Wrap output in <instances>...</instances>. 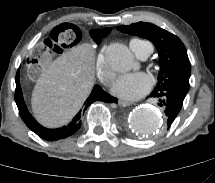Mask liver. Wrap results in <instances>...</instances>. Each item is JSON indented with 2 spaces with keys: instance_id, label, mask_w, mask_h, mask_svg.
I'll list each match as a JSON object with an SVG mask.
<instances>
[{
  "instance_id": "liver-1",
  "label": "liver",
  "mask_w": 215,
  "mask_h": 183,
  "mask_svg": "<svg viewBox=\"0 0 215 183\" xmlns=\"http://www.w3.org/2000/svg\"><path fill=\"white\" fill-rule=\"evenodd\" d=\"M94 55L90 44H82L62 54L43 72L31 99L39 123L56 128L77 114L94 86Z\"/></svg>"
}]
</instances>
